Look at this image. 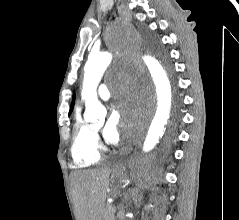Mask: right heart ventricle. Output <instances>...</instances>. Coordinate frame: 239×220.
Returning <instances> with one entry per match:
<instances>
[{
  "mask_svg": "<svg viewBox=\"0 0 239 220\" xmlns=\"http://www.w3.org/2000/svg\"><path fill=\"white\" fill-rule=\"evenodd\" d=\"M71 156L75 166L78 168L93 166L101 159L95 134L83 120L79 110L76 111L74 117Z\"/></svg>",
  "mask_w": 239,
  "mask_h": 220,
  "instance_id": "right-heart-ventricle-1",
  "label": "right heart ventricle"
}]
</instances>
